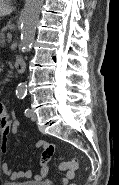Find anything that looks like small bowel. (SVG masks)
I'll list each match as a JSON object with an SVG mask.
<instances>
[{
    "mask_svg": "<svg viewBox=\"0 0 119 185\" xmlns=\"http://www.w3.org/2000/svg\"><path fill=\"white\" fill-rule=\"evenodd\" d=\"M0 119H1V152L8 155L10 152L9 141L19 126L20 122L12 117L4 103H0ZM36 148L42 149V159L38 173L33 175L31 170L14 171L7 162L2 164L3 173L11 180L28 179L33 177L36 181L45 180L50 166L51 157L55 151V146L45 140H39L35 144ZM78 164L67 163L60 165V170L65 172V176L56 185H71L69 181L74 179ZM46 185H53L50 181H46Z\"/></svg>",
    "mask_w": 119,
    "mask_h": 185,
    "instance_id": "c3829d8e",
    "label": "small bowel"
}]
</instances>
